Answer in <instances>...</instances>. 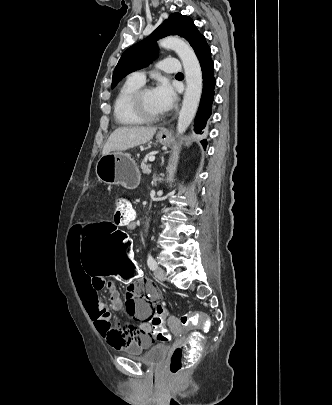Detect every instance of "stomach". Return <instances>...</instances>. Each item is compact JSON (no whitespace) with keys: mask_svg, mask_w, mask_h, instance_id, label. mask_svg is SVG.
<instances>
[{"mask_svg":"<svg viewBox=\"0 0 332 405\" xmlns=\"http://www.w3.org/2000/svg\"><path fill=\"white\" fill-rule=\"evenodd\" d=\"M157 140L166 145L168 133H158ZM96 175L99 180L111 185L134 188L140 181V172L136 162L127 154L113 151L103 155L96 164Z\"/></svg>","mask_w":332,"mask_h":405,"instance_id":"1","label":"stomach"}]
</instances>
